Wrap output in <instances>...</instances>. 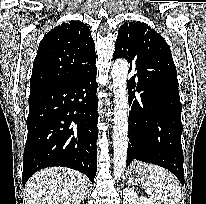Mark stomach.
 I'll return each instance as SVG.
<instances>
[{
    "label": "stomach",
    "instance_id": "1",
    "mask_svg": "<svg viewBox=\"0 0 206 204\" xmlns=\"http://www.w3.org/2000/svg\"><path fill=\"white\" fill-rule=\"evenodd\" d=\"M147 166V164L141 161L133 162L129 170L130 181L142 184L147 177Z\"/></svg>",
    "mask_w": 206,
    "mask_h": 204
}]
</instances>
